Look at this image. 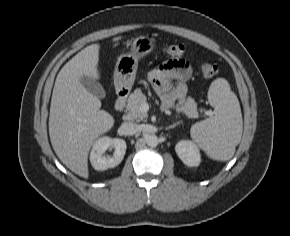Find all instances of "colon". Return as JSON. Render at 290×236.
Here are the masks:
<instances>
[{"label":"colon","instance_id":"5ec220e1","mask_svg":"<svg viewBox=\"0 0 290 236\" xmlns=\"http://www.w3.org/2000/svg\"><path fill=\"white\" fill-rule=\"evenodd\" d=\"M165 53L170 57H180L185 52V47L182 44H168L164 46ZM201 70L205 77L212 78L215 77L219 70L215 64L209 62H203L201 64Z\"/></svg>","mask_w":290,"mask_h":236}]
</instances>
